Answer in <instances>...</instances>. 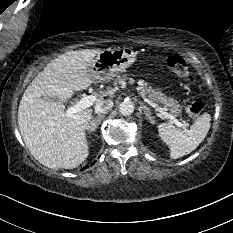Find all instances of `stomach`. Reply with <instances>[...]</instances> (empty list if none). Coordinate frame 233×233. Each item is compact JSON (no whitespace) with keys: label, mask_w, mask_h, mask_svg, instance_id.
Listing matches in <instances>:
<instances>
[{"label":"stomach","mask_w":233,"mask_h":233,"mask_svg":"<svg viewBox=\"0 0 233 233\" xmlns=\"http://www.w3.org/2000/svg\"><path fill=\"white\" fill-rule=\"evenodd\" d=\"M137 53L131 48H107L99 52L89 67V73L98 81L111 80L125 72L136 61Z\"/></svg>","instance_id":"0dacf381"}]
</instances>
